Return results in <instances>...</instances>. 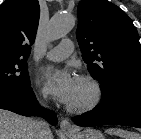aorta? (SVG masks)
Here are the masks:
<instances>
[{
	"label": "aorta",
	"instance_id": "aorta-1",
	"mask_svg": "<svg viewBox=\"0 0 141 139\" xmlns=\"http://www.w3.org/2000/svg\"><path fill=\"white\" fill-rule=\"evenodd\" d=\"M75 18L70 14H55L48 25L46 38L48 41H55L65 37L74 27Z\"/></svg>",
	"mask_w": 141,
	"mask_h": 139
}]
</instances>
